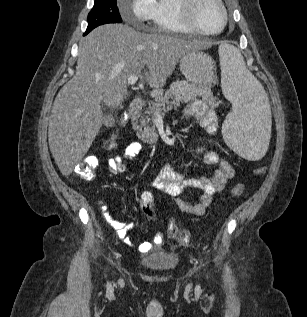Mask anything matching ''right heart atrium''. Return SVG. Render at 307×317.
Masks as SVG:
<instances>
[{
	"label": "right heart atrium",
	"mask_w": 307,
	"mask_h": 317,
	"mask_svg": "<svg viewBox=\"0 0 307 317\" xmlns=\"http://www.w3.org/2000/svg\"><path fill=\"white\" fill-rule=\"evenodd\" d=\"M123 1V0H119ZM157 14V0H131L124 9L123 16L137 22L153 21Z\"/></svg>",
	"instance_id": "1"
}]
</instances>
